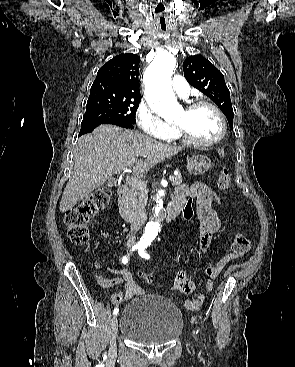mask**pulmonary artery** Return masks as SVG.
<instances>
[{
    "instance_id": "1",
    "label": "pulmonary artery",
    "mask_w": 295,
    "mask_h": 367,
    "mask_svg": "<svg viewBox=\"0 0 295 367\" xmlns=\"http://www.w3.org/2000/svg\"><path fill=\"white\" fill-rule=\"evenodd\" d=\"M173 89L181 98H187L190 93V87L184 77L175 75L172 81Z\"/></svg>"
}]
</instances>
